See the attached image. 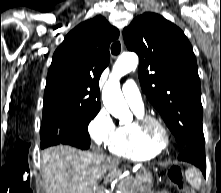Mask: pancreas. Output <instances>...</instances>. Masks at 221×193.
Segmentation results:
<instances>
[{
    "mask_svg": "<svg viewBox=\"0 0 221 193\" xmlns=\"http://www.w3.org/2000/svg\"><path fill=\"white\" fill-rule=\"evenodd\" d=\"M152 180L151 173L142 169L135 178L125 179L121 189L123 193H135L136 190L148 193L152 187Z\"/></svg>",
    "mask_w": 221,
    "mask_h": 193,
    "instance_id": "obj_1",
    "label": "pancreas"
}]
</instances>
